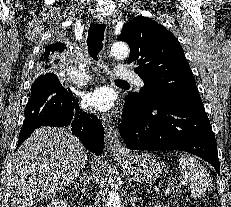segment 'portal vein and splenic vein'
<instances>
[{
	"label": "portal vein and splenic vein",
	"mask_w": 231,
	"mask_h": 207,
	"mask_svg": "<svg viewBox=\"0 0 231 207\" xmlns=\"http://www.w3.org/2000/svg\"><path fill=\"white\" fill-rule=\"evenodd\" d=\"M173 190H174V188H167V189L164 190V193H165V194H169V193H171Z\"/></svg>",
	"instance_id": "portal-vein-and-splenic-vein-1"
}]
</instances>
